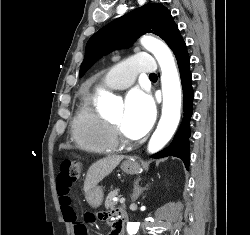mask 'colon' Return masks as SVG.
Masks as SVG:
<instances>
[{"mask_svg":"<svg viewBox=\"0 0 250 235\" xmlns=\"http://www.w3.org/2000/svg\"><path fill=\"white\" fill-rule=\"evenodd\" d=\"M82 174V162L78 159L63 160L60 164L58 174V186L63 191L69 192L73 183L77 181ZM91 220L95 221L96 215L91 214ZM75 235H87V227L84 222L74 223Z\"/></svg>","mask_w":250,"mask_h":235,"instance_id":"1","label":"colon"}]
</instances>
